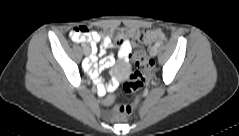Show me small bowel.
Instances as JSON below:
<instances>
[{"label":"small bowel","instance_id":"c3829d8e","mask_svg":"<svg viewBox=\"0 0 239 136\" xmlns=\"http://www.w3.org/2000/svg\"><path fill=\"white\" fill-rule=\"evenodd\" d=\"M70 37L73 41L77 43L91 42V46H95L93 48V53H99L100 55H105L107 49L113 47L110 44V41L107 37H101L95 31H92L90 33V36L87 39L75 40L72 38L71 33H70ZM126 37H129V36H126ZM99 41H102V43L100 47L97 48V43ZM132 49H133L132 43L128 39L123 40L122 43L119 45L118 54H117L118 59L126 64H131ZM113 63H114L113 56H106L101 60L100 65L98 66L97 57L95 55H92L90 56L89 60L86 61L85 67L90 72L93 78H97L100 70H106L110 68L113 65ZM117 86H118V80L116 77H114L107 84L99 83L98 90L101 94L111 93L117 88ZM112 102H113V96L111 94L107 95L104 99V104L110 105Z\"/></svg>","mask_w":239,"mask_h":136}]
</instances>
